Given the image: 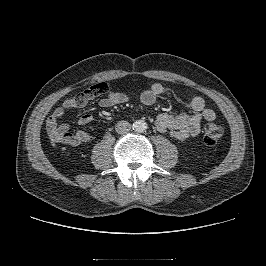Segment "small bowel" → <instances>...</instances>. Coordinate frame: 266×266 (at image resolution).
Wrapping results in <instances>:
<instances>
[{"label":"small bowel","instance_id":"1","mask_svg":"<svg viewBox=\"0 0 266 266\" xmlns=\"http://www.w3.org/2000/svg\"><path fill=\"white\" fill-rule=\"evenodd\" d=\"M167 94V89L162 84L154 83L150 88L141 93L140 99L143 104L151 105L158 98ZM92 99L85 94L78 93L66 98L60 106L54 109L46 120V132L51 142L54 144L78 146L92 139V135L83 130H78L74 133L70 132L69 124L65 122L67 111L83 109ZM127 100L128 96L125 93L109 92L104 98L98 101V104L100 107L107 108L125 103ZM183 104L191 110L190 113L177 117L161 113L156 117L154 122L159 132L168 134L179 141H185L198 135L202 121H213L216 119V112L208 108L203 98L199 96L184 100ZM93 119L91 113L84 111L78 118V124L87 125Z\"/></svg>","mask_w":266,"mask_h":266}]
</instances>
